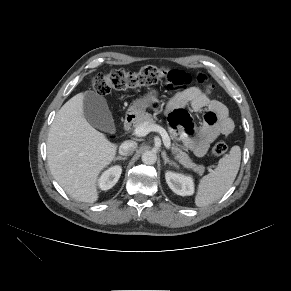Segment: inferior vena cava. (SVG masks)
Wrapping results in <instances>:
<instances>
[{"label":"inferior vena cava","instance_id":"1","mask_svg":"<svg viewBox=\"0 0 291 291\" xmlns=\"http://www.w3.org/2000/svg\"><path fill=\"white\" fill-rule=\"evenodd\" d=\"M137 148V143L135 141H125L119 147V153L123 156L131 155Z\"/></svg>","mask_w":291,"mask_h":291}]
</instances>
